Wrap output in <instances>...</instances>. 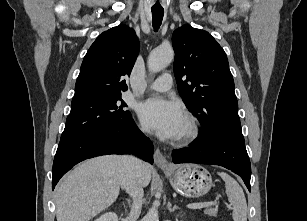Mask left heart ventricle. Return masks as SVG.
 Wrapping results in <instances>:
<instances>
[{"instance_id": "left-heart-ventricle-1", "label": "left heart ventricle", "mask_w": 307, "mask_h": 221, "mask_svg": "<svg viewBox=\"0 0 307 221\" xmlns=\"http://www.w3.org/2000/svg\"><path fill=\"white\" fill-rule=\"evenodd\" d=\"M187 129H188V124H187L186 120L184 119L180 133H179L178 136L184 134L187 131Z\"/></svg>"}]
</instances>
